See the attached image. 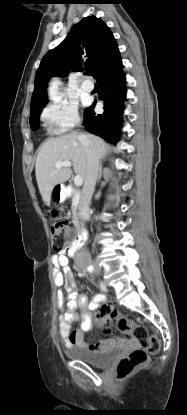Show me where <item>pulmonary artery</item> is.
<instances>
[{
  "mask_svg": "<svg viewBox=\"0 0 187 415\" xmlns=\"http://www.w3.org/2000/svg\"><path fill=\"white\" fill-rule=\"evenodd\" d=\"M82 89L86 92H91L94 89V86L89 81H84L81 85Z\"/></svg>",
  "mask_w": 187,
  "mask_h": 415,
  "instance_id": "e3ab8cb5",
  "label": "pulmonary artery"
}]
</instances>
